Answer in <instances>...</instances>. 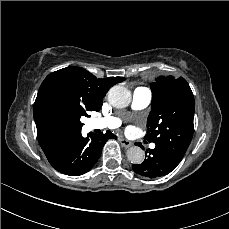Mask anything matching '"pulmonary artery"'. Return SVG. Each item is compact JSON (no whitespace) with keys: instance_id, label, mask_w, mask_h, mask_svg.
<instances>
[{"instance_id":"1","label":"pulmonary artery","mask_w":229,"mask_h":229,"mask_svg":"<svg viewBox=\"0 0 229 229\" xmlns=\"http://www.w3.org/2000/svg\"><path fill=\"white\" fill-rule=\"evenodd\" d=\"M152 99L151 90L147 87H138L132 94V108L135 110H141L146 108ZM120 125V120L116 117L91 119L89 122V128L93 129H115ZM154 147V145H151Z\"/></svg>"}]
</instances>
